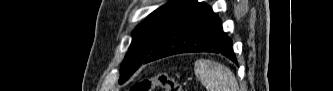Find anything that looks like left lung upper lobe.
<instances>
[{
  "instance_id": "left-lung-upper-lobe-1",
  "label": "left lung upper lobe",
  "mask_w": 333,
  "mask_h": 91,
  "mask_svg": "<svg viewBox=\"0 0 333 91\" xmlns=\"http://www.w3.org/2000/svg\"><path fill=\"white\" fill-rule=\"evenodd\" d=\"M195 3L196 0H172L155 10L136 27L120 70V84L139 68L175 22Z\"/></svg>"
}]
</instances>
